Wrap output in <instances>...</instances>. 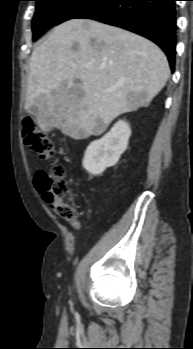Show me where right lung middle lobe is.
<instances>
[{
	"mask_svg": "<svg viewBox=\"0 0 193 349\" xmlns=\"http://www.w3.org/2000/svg\"><path fill=\"white\" fill-rule=\"evenodd\" d=\"M36 12L33 18V40L36 41L49 28L80 13L97 0H35Z\"/></svg>",
	"mask_w": 193,
	"mask_h": 349,
	"instance_id": "dd1d6c3e",
	"label": "right lung middle lobe"
}]
</instances>
